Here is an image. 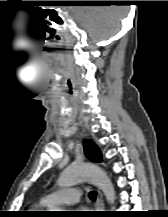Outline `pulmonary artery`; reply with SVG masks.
I'll return each mask as SVG.
<instances>
[{
	"mask_svg": "<svg viewBox=\"0 0 168 217\" xmlns=\"http://www.w3.org/2000/svg\"><path fill=\"white\" fill-rule=\"evenodd\" d=\"M80 198L81 192L79 190L68 188L49 193L43 197L42 202L46 206L72 205L78 203Z\"/></svg>",
	"mask_w": 168,
	"mask_h": 217,
	"instance_id": "obj_1",
	"label": "pulmonary artery"
}]
</instances>
